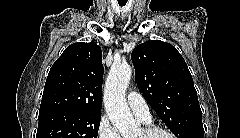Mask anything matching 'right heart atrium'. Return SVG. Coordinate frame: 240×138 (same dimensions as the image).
I'll return each instance as SVG.
<instances>
[{"label":"right heart atrium","mask_w":240,"mask_h":138,"mask_svg":"<svg viewBox=\"0 0 240 138\" xmlns=\"http://www.w3.org/2000/svg\"><path fill=\"white\" fill-rule=\"evenodd\" d=\"M97 138H122L118 130L106 117H102L97 127Z\"/></svg>","instance_id":"1"}]
</instances>
